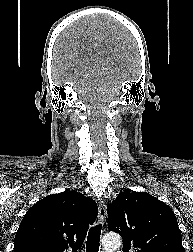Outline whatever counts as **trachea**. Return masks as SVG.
I'll use <instances>...</instances> for the list:
<instances>
[{"label": "trachea", "mask_w": 193, "mask_h": 252, "mask_svg": "<svg viewBox=\"0 0 193 252\" xmlns=\"http://www.w3.org/2000/svg\"><path fill=\"white\" fill-rule=\"evenodd\" d=\"M101 229H102V224H97L90 228L88 237H87V242H86L87 252L99 251Z\"/></svg>", "instance_id": "obj_1"}]
</instances>
